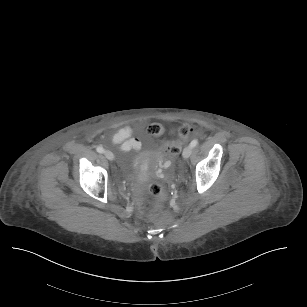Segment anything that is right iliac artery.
<instances>
[{
  "instance_id": "right-iliac-artery-1",
  "label": "right iliac artery",
  "mask_w": 307,
  "mask_h": 307,
  "mask_svg": "<svg viewBox=\"0 0 307 307\" xmlns=\"http://www.w3.org/2000/svg\"><path fill=\"white\" fill-rule=\"evenodd\" d=\"M96 151H97L98 153H103V152H104V149H103V147H101V146H97Z\"/></svg>"
}]
</instances>
